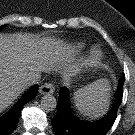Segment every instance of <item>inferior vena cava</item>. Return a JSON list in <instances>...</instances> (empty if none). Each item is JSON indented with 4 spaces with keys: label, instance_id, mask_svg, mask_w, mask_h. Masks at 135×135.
I'll return each instance as SVG.
<instances>
[{
    "label": "inferior vena cava",
    "instance_id": "1",
    "mask_svg": "<svg viewBox=\"0 0 135 135\" xmlns=\"http://www.w3.org/2000/svg\"><path fill=\"white\" fill-rule=\"evenodd\" d=\"M26 83H27L28 86L38 83L36 75L34 73L28 74V76L26 78Z\"/></svg>",
    "mask_w": 135,
    "mask_h": 135
}]
</instances>
